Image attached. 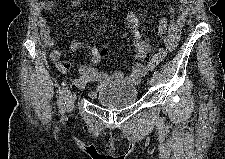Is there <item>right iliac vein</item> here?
<instances>
[{
	"label": "right iliac vein",
	"mask_w": 225,
	"mask_h": 159,
	"mask_svg": "<svg viewBox=\"0 0 225 159\" xmlns=\"http://www.w3.org/2000/svg\"><path fill=\"white\" fill-rule=\"evenodd\" d=\"M74 101L75 97L72 94H69L66 99V107L68 110H71L73 108Z\"/></svg>",
	"instance_id": "1"
}]
</instances>
